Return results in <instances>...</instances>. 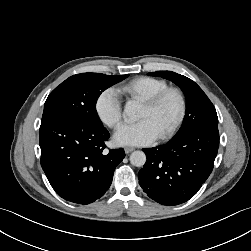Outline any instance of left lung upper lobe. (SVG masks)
Instances as JSON below:
<instances>
[{
	"instance_id": "5c2ea615",
	"label": "left lung upper lobe",
	"mask_w": 251,
	"mask_h": 251,
	"mask_svg": "<svg viewBox=\"0 0 251 251\" xmlns=\"http://www.w3.org/2000/svg\"><path fill=\"white\" fill-rule=\"evenodd\" d=\"M174 82L185 94L186 114L179 131L173 138L201 128H218V117L212 102L203 90L191 79L172 71H157L149 73Z\"/></svg>"
}]
</instances>
